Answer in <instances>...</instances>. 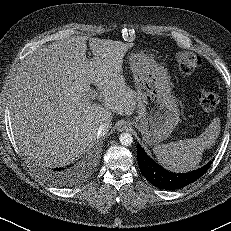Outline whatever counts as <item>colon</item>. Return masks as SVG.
Returning a JSON list of instances; mask_svg holds the SVG:
<instances>
[{
	"instance_id": "obj_1",
	"label": "colon",
	"mask_w": 231,
	"mask_h": 231,
	"mask_svg": "<svg viewBox=\"0 0 231 231\" xmlns=\"http://www.w3.org/2000/svg\"><path fill=\"white\" fill-rule=\"evenodd\" d=\"M201 63L200 57L191 52H181L177 55V65L180 74L187 75L196 70ZM198 102L205 110H212L218 104L217 94L209 88H201L198 91Z\"/></svg>"
}]
</instances>
